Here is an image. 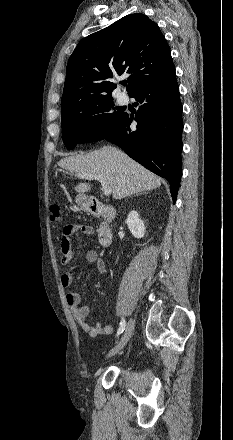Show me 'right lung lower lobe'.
<instances>
[{
  "label": "right lung lower lobe",
  "mask_w": 233,
  "mask_h": 440,
  "mask_svg": "<svg viewBox=\"0 0 233 440\" xmlns=\"http://www.w3.org/2000/svg\"><path fill=\"white\" fill-rule=\"evenodd\" d=\"M139 103L135 117L125 113L121 122L103 139L121 147L131 158L170 183L176 201L182 165V104L173 66L162 76L134 91ZM134 119L137 129H131Z\"/></svg>",
  "instance_id": "1"
}]
</instances>
